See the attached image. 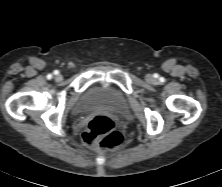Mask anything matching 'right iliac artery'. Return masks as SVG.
<instances>
[{"mask_svg":"<svg viewBox=\"0 0 222 187\" xmlns=\"http://www.w3.org/2000/svg\"><path fill=\"white\" fill-rule=\"evenodd\" d=\"M54 73H55V74H58V71H55ZM47 78H48V79H51V78H52V75H51V74L47 75Z\"/></svg>","mask_w":222,"mask_h":187,"instance_id":"obj_1","label":"right iliac artery"}]
</instances>
